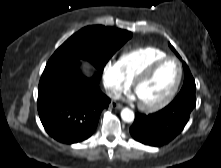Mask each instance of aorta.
I'll use <instances>...</instances> for the list:
<instances>
[{
    "mask_svg": "<svg viewBox=\"0 0 221 168\" xmlns=\"http://www.w3.org/2000/svg\"><path fill=\"white\" fill-rule=\"evenodd\" d=\"M121 118L124 122L130 123L134 120V112L129 108H124L121 111Z\"/></svg>",
    "mask_w": 221,
    "mask_h": 168,
    "instance_id": "aorta-1",
    "label": "aorta"
}]
</instances>
